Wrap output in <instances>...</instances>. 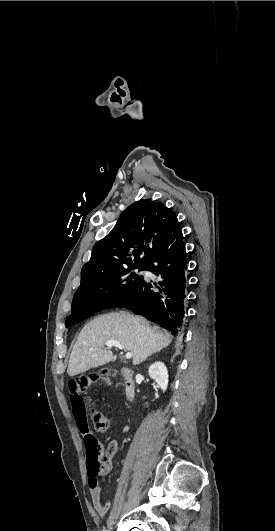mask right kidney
Masks as SVG:
<instances>
[{
	"mask_svg": "<svg viewBox=\"0 0 275 531\" xmlns=\"http://www.w3.org/2000/svg\"><path fill=\"white\" fill-rule=\"evenodd\" d=\"M149 377L151 379H154L156 383H158L159 387H161L163 393L166 391L168 387V371L164 365V363H161V361H157V363H153L151 367H149Z\"/></svg>",
	"mask_w": 275,
	"mask_h": 531,
	"instance_id": "1",
	"label": "right kidney"
}]
</instances>
